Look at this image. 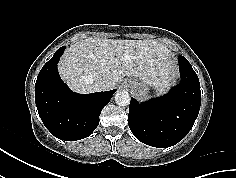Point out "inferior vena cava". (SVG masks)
I'll return each instance as SVG.
<instances>
[{
	"instance_id": "obj_1",
	"label": "inferior vena cava",
	"mask_w": 236,
	"mask_h": 178,
	"mask_svg": "<svg viewBox=\"0 0 236 178\" xmlns=\"http://www.w3.org/2000/svg\"><path fill=\"white\" fill-rule=\"evenodd\" d=\"M94 86L97 90H104L108 86V82L105 78L98 79L94 82Z\"/></svg>"
}]
</instances>
